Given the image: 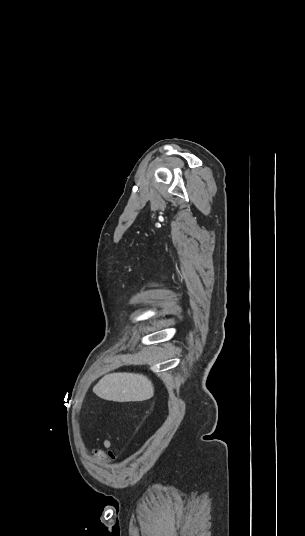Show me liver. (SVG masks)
<instances>
[{"label":"liver","mask_w":305,"mask_h":536,"mask_svg":"<svg viewBox=\"0 0 305 536\" xmlns=\"http://www.w3.org/2000/svg\"><path fill=\"white\" fill-rule=\"evenodd\" d=\"M93 392L110 402H144L154 396L152 382L142 374H107Z\"/></svg>","instance_id":"liver-1"}]
</instances>
